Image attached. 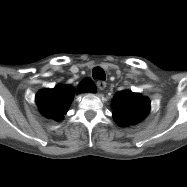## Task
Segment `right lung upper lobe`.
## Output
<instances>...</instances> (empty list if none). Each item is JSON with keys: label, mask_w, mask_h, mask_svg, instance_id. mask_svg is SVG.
I'll use <instances>...</instances> for the list:
<instances>
[{"label": "right lung upper lobe", "mask_w": 187, "mask_h": 187, "mask_svg": "<svg viewBox=\"0 0 187 187\" xmlns=\"http://www.w3.org/2000/svg\"><path fill=\"white\" fill-rule=\"evenodd\" d=\"M96 86L93 88V90ZM79 92H84L86 89L78 88ZM74 89L70 85L59 84L53 89L40 91L36 97L37 104L42 112L56 120H61L67 113L72 102Z\"/></svg>", "instance_id": "obj_1"}]
</instances>
